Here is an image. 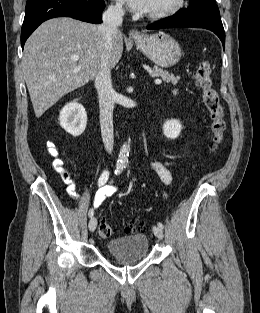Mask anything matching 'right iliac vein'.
<instances>
[{
	"label": "right iliac vein",
	"mask_w": 260,
	"mask_h": 313,
	"mask_svg": "<svg viewBox=\"0 0 260 313\" xmlns=\"http://www.w3.org/2000/svg\"><path fill=\"white\" fill-rule=\"evenodd\" d=\"M96 226H97V220L95 217H92L89 221V230L92 232L95 231Z\"/></svg>",
	"instance_id": "obj_1"
}]
</instances>
